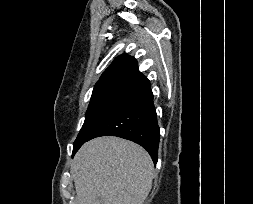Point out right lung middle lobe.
Here are the masks:
<instances>
[{
    "label": "right lung middle lobe",
    "instance_id": "dd1d6c3e",
    "mask_svg": "<svg viewBox=\"0 0 253 204\" xmlns=\"http://www.w3.org/2000/svg\"><path fill=\"white\" fill-rule=\"evenodd\" d=\"M137 82H118L94 88L84 124L73 144V156L92 133L137 87Z\"/></svg>",
    "mask_w": 253,
    "mask_h": 204
}]
</instances>
